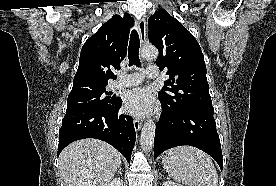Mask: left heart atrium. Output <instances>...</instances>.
<instances>
[{
    "instance_id": "1",
    "label": "left heart atrium",
    "mask_w": 276,
    "mask_h": 186,
    "mask_svg": "<svg viewBox=\"0 0 276 186\" xmlns=\"http://www.w3.org/2000/svg\"><path fill=\"white\" fill-rule=\"evenodd\" d=\"M153 106V96L146 89H134L126 94L124 109L128 114L138 117L145 116L152 112Z\"/></svg>"
}]
</instances>
